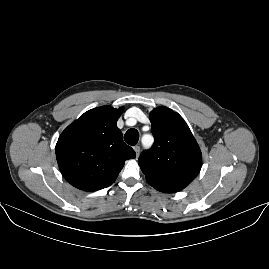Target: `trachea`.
<instances>
[{"label":"trachea","mask_w":269,"mask_h":269,"mask_svg":"<svg viewBox=\"0 0 269 269\" xmlns=\"http://www.w3.org/2000/svg\"><path fill=\"white\" fill-rule=\"evenodd\" d=\"M124 140L126 143H128L131 146H134L137 144L139 140V133L136 129H129L125 135H124Z\"/></svg>","instance_id":"obj_1"}]
</instances>
